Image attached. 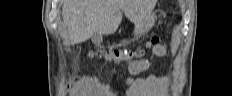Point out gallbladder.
<instances>
[{
  "instance_id": "1",
  "label": "gallbladder",
  "mask_w": 232,
  "mask_h": 96,
  "mask_svg": "<svg viewBox=\"0 0 232 96\" xmlns=\"http://www.w3.org/2000/svg\"><path fill=\"white\" fill-rule=\"evenodd\" d=\"M92 41L96 44H99L102 41V37L98 33H94L91 37Z\"/></svg>"
}]
</instances>
